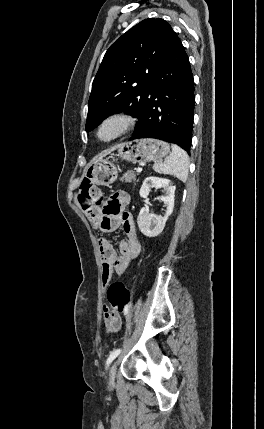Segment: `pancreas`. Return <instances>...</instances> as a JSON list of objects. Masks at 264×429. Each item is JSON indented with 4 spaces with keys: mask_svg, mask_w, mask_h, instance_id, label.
<instances>
[{
    "mask_svg": "<svg viewBox=\"0 0 264 429\" xmlns=\"http://www.w3.org/2000/svg\"><path fill=\"white\" fill-rule=\"evenodd\" d=\"M120 180L122 182L130 183V182L136 180V174L134 171L128 170L127 172H125L123 174V176L120 178Z\"/></svg>",
    "mask_w": 264,
    "mask_h": 429,
    "instance_id": "cf45deb5",
    "label": "pancreas"
}]
</instances>
